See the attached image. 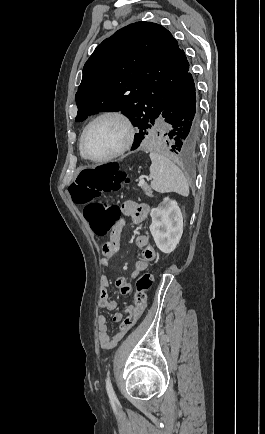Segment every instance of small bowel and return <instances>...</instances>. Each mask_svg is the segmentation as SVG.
<instances>
[{
  "instance_id": "obj_1",
  "label": "small bowel",
  "mask_w": 265,
  "mask_h": 434,
  "mask_svg": "<svg viewBox=\"0 0 265 434\" xmlns=\"http://www.w3.org/2000/svg\"><path fill=\"white\" fill-rule=\"evenodd\" d=\"M123 218L114 228L110 241L106 242L102 246V256L100 258V266L106 268L113 258V256L119 250V239L123 226L129 220L135 226H141L147 219L149 214V207L144 204H138L134 201H126L122 204ZM136 246L141 250L142 259L138 260L135 264V268L130 275V280L135 278L148 268V263L152 261L156 256V251L151 244L149 237L144 234H140L135 239ZM115 285L122 295H128L131 293V285L125 277H119L115 281ZM111 281L106 275H102L100 278L99 287V300L98 305L101 309L107 311H113L117 308V302L110 297L109 289ZM135 307L128 305L124 309L125 314H130L134 311ZM124 313L116 312L112 315L113 322H120L124 319ZM98 327V341L102 350H111L116 347L118 341L115 340V333L109 335L108 319L104 314L97 316ZM126 335V334H125ZM124 335V336H125ZM123 336V337H124Z\"/></svg>"
}]
</instances>
